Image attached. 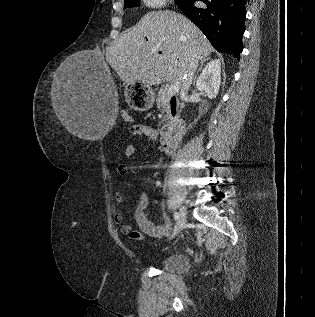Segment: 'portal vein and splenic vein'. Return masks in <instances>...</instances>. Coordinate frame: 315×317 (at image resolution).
Wrapping results in <instances>:
<instances>
[{"label": "portal vein and splenic vein", "mask_w": 315, "mask_h": 317, "mask_svg": "<svg viewBox=\"0 0 315 317\" xmlns=\"http://www.w3.org/2000/svg\"><path fill=\"white\" fill-rule=\"evenodd\" d=\"M178 88H179V81H174L168 88V91H167L168 95L171 96L172 94H174L178 90Z\"/></svg>", "instance_id": "portal-vein-and-splenic-vein-1"}]
</instances>
